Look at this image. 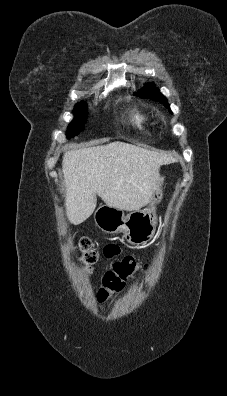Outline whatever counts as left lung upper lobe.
I'll return each mask as SVG.
<instances>
[{
	"label": "left lung upper lobe",
	"instance_id": "obj_1",
	"mask_svg": "<svg viewBox=\"0 0 227 396\" xmlns=\"http://www.w3.org/2000/svg\"><path fill=\"white\" fill-rule=\"evenodd\" d=\"M135 95L141 96L143 98H150L156 100L167 108H169V104L167 99L155 88V85L152 83H148L141 91ZM170 111V108H169ZM171 112V111H170ZM172 113V112H171Z\"/></svg>",
	"mask_w": 227,
	"mask_h": 396
}]
</instances>
